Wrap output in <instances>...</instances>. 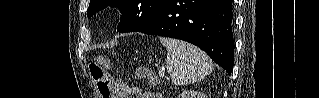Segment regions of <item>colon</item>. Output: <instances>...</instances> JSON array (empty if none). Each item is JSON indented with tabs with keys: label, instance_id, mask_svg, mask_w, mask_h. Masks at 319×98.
<instances>
[{
	"label": "colon",
	"instance_id": "5ec220e1",
	"mask_svg": "<svg viewBox=\"0 0 319 98\" xmlns=\"http://www.w3.org/2000/svg\"><path fill=\"white\" fill-rule=\"evenodd\" d=\"M107 65V61L105 59L101 60V64L92 63L89 65V71L93 78V80L97 84V88L102 98H111L112 91L110 88L109 80L106 76L104 66ZM139 78H146L150 85H156L158 82L157 75L149 70L148 68L141 67L136 72Z\"/></svg>",
	"mask_w": 319,
	"mask_h": 98
}]
</instances>
